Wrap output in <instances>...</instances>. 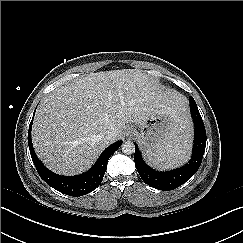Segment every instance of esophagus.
<instances>
[{
	"label": "esophagus",
	"instance_id": "esophagus-1",
	"mask_svg": "<svg viewBox=\"0 0 243 243\" xmlns=\"http://www.w3.org/2000/svg\"><path fill=\"white\" fill-rule=\"evenodd\" d=\"M128 135H129V137L133 136V130L132 129L128 131Z\"/></svg>",
	"mask_w": 243,
	"mask_h": 243
}]
</instances>
